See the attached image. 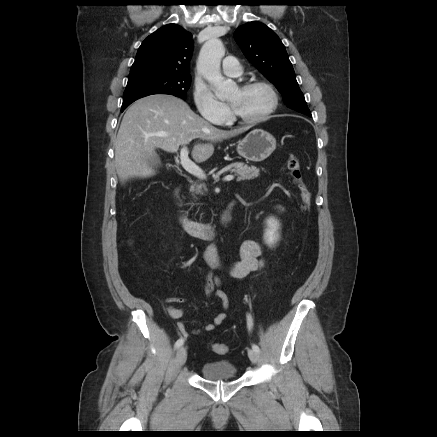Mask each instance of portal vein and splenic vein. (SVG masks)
<instances>
[{
    "mask_svg": "<svg viewBox=\"0 0 437 437\" xmlns=\"http://www.w3.org/2000/svg\"><path fill=\"white\" fill-rule=\"evenodd\" d=\"M180 160H181L182 167L187 172H189L190 174H192L200 179L205 178V173L203 172V170L189 159L188 150L186 147H183L180 151ZM233 179H234L233 175H227L224 177L225 181H231Z\"/></svg>",
    "mask_w": 437,
    "mask_h": 437,
    "instance_id": "18ae733b",
    "label": "portal vein and splenic vein"
}]
</instances>
